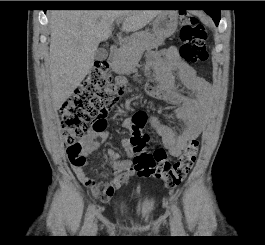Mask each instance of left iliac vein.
<instances>
[{"mask_svg": "<svg viewBox=\"0 0 265 245\" xmlns=\"http://www.w3.org/2000/svg\"><path fill=\"white\" fill-rule=\"evenodd\" d=\"M170 226H171V231L175 232L176 231V226H175L174 218H170Z\"/></svg>", "mask_w": 265, "mask_h": 245, "instance_id": "1", "label": "left iliac vein"}]
</instances>
